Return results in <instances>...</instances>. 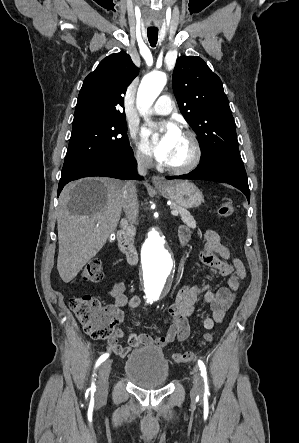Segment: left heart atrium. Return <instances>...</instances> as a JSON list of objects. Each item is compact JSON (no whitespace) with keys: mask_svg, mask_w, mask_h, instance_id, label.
Instances as JSON below:
<instances>
[{"mask_svg":"<svg viewBox=\"0 0 299 443\" xmlns=\"http://www.w3.org/2000/svg\"><path fill=\"white\" fill-rule=\"evenodd\" d=\"M155 128L145 126L141 130V140L143 148L152 154L157 161L166 164L170 158L171 152L181 136L178 127L173 123L165 125V131L156 139H152Z\"/></svg>","mask_w":299,"mask_h":443,"instance_id":"left-heart-atrium-1","label":"left heart atrium"}]
</instances>
